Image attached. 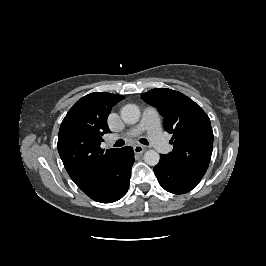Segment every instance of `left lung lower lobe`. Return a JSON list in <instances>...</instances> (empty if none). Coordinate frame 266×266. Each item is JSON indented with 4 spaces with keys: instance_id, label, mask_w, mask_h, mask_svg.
Returning <instances> with one entry per match:
<instances>
[{
    "instance_id": "0a47b994",
    "label": "left lung lower lobe",
    "mask_w": 266,
    "mask_h": 266,
    "mask_svg": "<svg viewBox=\"0 0 266 266\" xmlns=\"http://www.w3.org/2000/svg\"><path fill=\"white\" fill-rule=\"evenodd\" d=\"M160 185L173 194H183L191 191L202 179L206 171L184 170L172 165L161 155L159 163L154 168Z\"/></svg>"
}]
</instances>
